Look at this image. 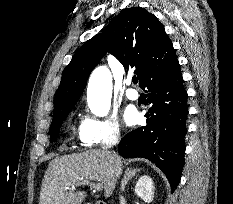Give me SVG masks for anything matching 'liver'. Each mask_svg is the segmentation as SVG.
Returning a JSON list of instances; mask_svg holds the SVG:
<instances>
[{"label": "liver", "mask_w": 233, "mask_h": 204, "mask_svg": "<svg viewBox=\"0 0 233 204\" xmlns=\"http://www.w3.org/2000/svg\"><path fill=\"white\" fill-rule=\"evenodd\" d=\"M123 169L121 158L100 149L62 155L49 162L42 181L39 204H81L84 191H74L72 185L80 180L102 184L104 196L110 197Z\"/></svg>", "instance_id": "liver-1"}]
</instances>
